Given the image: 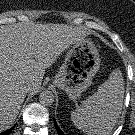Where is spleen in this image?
<instances>
[{
    "label": "spleen",
    "instance_id": "3e777b00",
    "mask_svg": "<svg viewBox=\"0 0 135 135\" xmlns=\"http://www.w3.org/2000/svg\"><path fill=\"white\" fill-rule=\"evenodd\" d=\"M123 96V76L115 70L95 94L71 113V120L87 135H109L122 109Z\"/></svg>",
    "mask_w": 135,
    "mask_h": 135
}]
</instances>
